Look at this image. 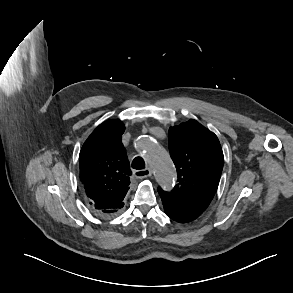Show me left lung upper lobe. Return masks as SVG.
Masks as SVG:
<instances>
[{
    "label": "left lung upper lobe",
    "mask_w": 293,
    "mask_h": 293,
    "mask_svg": "<svg viewBox=\"0 0 293 293\" xmlns=\"http://www.w3.org/2000/svg\"><path fill=\"white\" fill-rule=\"evenodd\" d=\"M170 156L178 184L164 192L177 203L201 214L210 204L220 181L224 156L217 136L195 120L169 129Z\"/></svg>",
    "instance_id": "5c2ea615"
}]
</instances>
